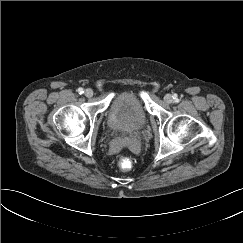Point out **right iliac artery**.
<instances>
[{
	"label": "right iliac artery",
	"mask_w": 243,
	"mask_h": 243,
	"mask_svg": "<svg viewBox=\"0 0 243 243\" xmlns=\"http://www.w3.org/2000/svg\"><path fill=\"white\" fill-rule=\"evenodd\" d=\"M78 93H79V94H83V93H84L83 88H79V89H78Z\"/></svg>",
	"instance_id": "right-iliac-artery-1"
}]
</instances>
